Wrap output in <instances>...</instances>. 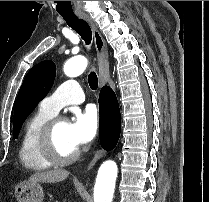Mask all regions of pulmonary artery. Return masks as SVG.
Segmentation results:
<instances>
[{
    "instance_id": "1",
    "label": "pulmonary artery",
    "mask_w": 209,
    "mask_h": 202,
    "mask_svg": "<svg viewBox=\"0 0 209 202\" xmlns=\"http://www.w3.org/2000/svg\"><path fill=\"white\" fill-rule=\"evenodd\" d=\"M84 101L82 88L77 80H66L60 84L52 95L43 98L40 106L51 115H56L60 109L70 104H80Z\"/></svg>"
}]
</instances>
